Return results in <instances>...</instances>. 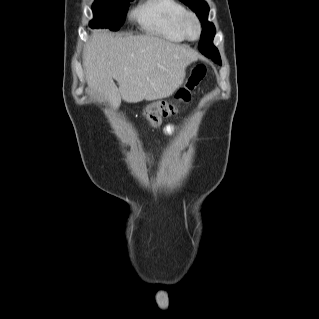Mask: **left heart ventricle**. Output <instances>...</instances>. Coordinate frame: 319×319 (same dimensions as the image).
<instances>
[{
  "label": "left heart ventricle",
  "instance_id": "b2bd125f",
  "mask_svg": "<svg viewBox=\"0 0 319 319\" xmlns=\"http://www.w3.org/2000/svg\"><path fill=\"white\" fill-rule=\"evenodd\" d=\"M190 30H191V33H192L193 35L196 34V27H195L194 24H191V25H190Z\"/></svg>",
  "mask_w": 319,
  "mask_h": 319
}]
</instances>
